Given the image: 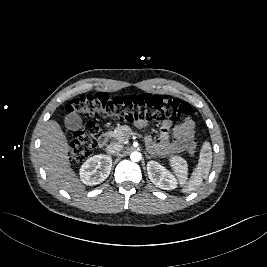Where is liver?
Listing matches in <instances>:
<instances>
[{
    "label": "liver",
    "mask_w": 267,
    "mask_h": 267,
    "mask_svg": "<svg viewBox=\"0 0 267 267\" xmlns=\"http://www.w3.org/2000/svg\"><path fill=\"white\" fill-rule=\"evenodd\" d=\"M69 144L59 123L50 120L43 131L40 160L48 179L59 188L69 193H80L85 186L71 168L69 161Z\"/></svg>",
    "instance_id": "obj_1"
}]
</instances>
